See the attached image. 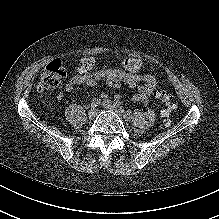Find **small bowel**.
Returning <instances> with one entry per match:
<instances>
[{"mask_svg": "<svg viewBox=\"0 0 219 219\" xmlns=\"http://www.w3.org/2000/svg\"><path fill=\"white\" fill-rule=\"evenodd\" d=\"M84 59L80 60L77 72L71 76L65 85V92H71L78 86L93 87L101 81L113 88H118L122 83H125L130 88L138 86L137 91L132 95L134 101L148 104L150 97L153 96L157 89L156 78L151 74L141 73L140 69L142 63L136 58L122 59L121 63L124 69H108L101 71H92L91 67H84ZM63 96L64 94L60 92L57 95V100H61Z\"/></svg>", "mask_w": 219, "mask_h": 219, "instance_id": "1", "label": "small bowel"}]
</instances>
